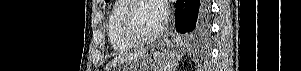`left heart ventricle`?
<instances>
[{"label":"left heart ventricle","instance_id":"left-heart-ventricle-1","mask_svg":"<svg viewBox=\"0 0 301 71\" xmlns=\"http://www.w3.org/2000/svg\"><path fill=\"white\" fill-rule=\"evenodd\" d=\"M133 23L142 36H150L162 27L157 11V4L153 1L140 3L133 11Z\"/></svg>","mask_w":301,"mask_h":71}]
</instances>
